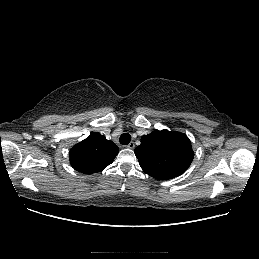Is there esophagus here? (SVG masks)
Instances as JSON below:
<instances>
[{"mask_svg":"<svg viewBox=\"0 0 259 259\" xmlns=\"http://www.w3.org/2000/svg\"><path fill=\"white\" fill-rule=\"evenodd\" d=\"M126 147H127L128 149H134L135 144H134V142H130Z\"/></svg>","mask_w":259,"mask_h":259,"instance_id":"obj_1","label":"esophagus"}]
</instances>
